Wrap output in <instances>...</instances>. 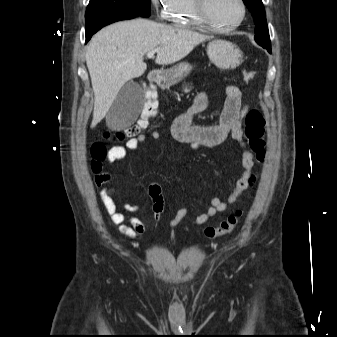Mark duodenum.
<instances>
[{"instance_id": "duodenum-1", "label": "duodenum", "mask_w": 337, "mask_h": 337, "mask_svg": "<svg viewBox=\"0 0 337 337\" xmlns=\"http://www.w3.org/2000/svg\"><path fill=\"white\" fill-rule=\"evenodd\" d=\"M148 78L150 83L158 85L162 82V73L157 71L150 72Z\"/></svg>"}]
</instances>
